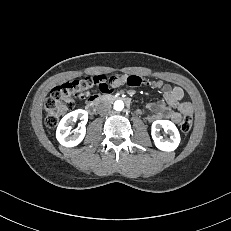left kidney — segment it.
Masks as SVG:
<instances>
[{
	"mask_svg": "<svg viewBox=\"0 0 231 231\" xmlns=\"http://www.w3.org/2000/svg\"><path fill=\"white\" fill-rule=\"evenodd\" d=\"M160 128L170 135V140H163L159 134ZM151 135L155 146L162 151H174L180 143V134L175 124L169 120H156L152 123Z\"/></svg>",
	"mask_w": 231,
	"mask_h": 231,
	"instance_id": "5707ae66",
	"label": "left kidney"
}]
</instances>
